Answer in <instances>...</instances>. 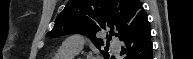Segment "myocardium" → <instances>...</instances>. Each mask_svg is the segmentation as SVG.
I'll return each mask as SVG.
<instances>
[{
	"label": "myocardium",
	"instance_id": "myocardium-1",
	"mask_svg": "<svg viewBox=\"0 0 193 59\" xmlns=\"http://www.w3.org/2000/svg\"><path fill=\"white\" fill-rule=\"evenodd\" d=\"M73 59H86L84 57H76V58H73Z\"/></svg>",
	"mask_w": 193,
	"mask_h": 59
}]
</instances>
